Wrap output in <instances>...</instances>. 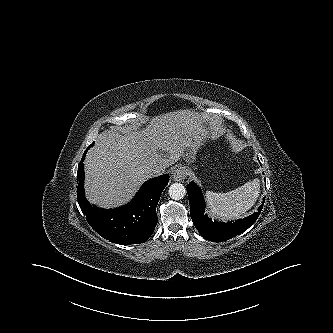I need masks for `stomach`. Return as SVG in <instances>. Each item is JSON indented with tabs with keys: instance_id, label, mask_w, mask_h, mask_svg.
Here are the masks:
<instances>
[{
	"instance_id": "1",
	"label": "stomach",
	"mask_w": 333,
	"mask_h": 333,
	"mask_svg": "<svg viewBox=\"0 0 333 333\" xmlns=\"http://www.w3.org/2000/svg\"><path fill=\"white\" fill-rule=\"evenodd\" d=\"M184 160H185L188 164L193 163L194 160H195V156L188 154V155L185 156Z\"/></svg>"
}]
</instances>
